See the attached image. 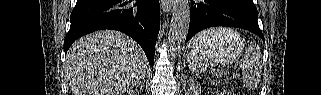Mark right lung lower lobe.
<instances>
[{"label": "right lung lower lobe", "instance_id": "1", "mask_svg": "<svg viewBox=\"0 0 321 95\" xmlns=\"http://www.w3.org/2000/svg\"><path fill=\"white\" fill-rule=\"evenodd\" d=\"M77 0L64 40L65 53L79 37L101 29L121 31L144 50L150 65L160 29L159 0Z\"/></svg>", "mask_w": 321, "mask_h": 95}]
</instances>
